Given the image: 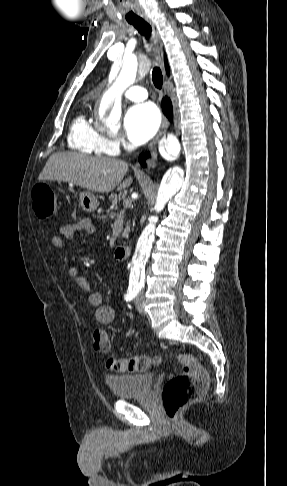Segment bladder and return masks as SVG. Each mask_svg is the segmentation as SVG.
I'll use <instances>...</instances> for the list:
<instances>
[{"mask_svg":"<svg viewBox=\"0 0 287 486\" xmlns=\"http://www.w3.org/2000/svg\"><path fill=\"white\" fill-rule=\"evenodd\" d=\"M151 373L110 375L105 382L112 394L118 399H129L148 394L154 384Z\"/></svg>","mask_w":287,"mask_h":486,"instance_id":"1","label":"bladder"}]
</instances>
